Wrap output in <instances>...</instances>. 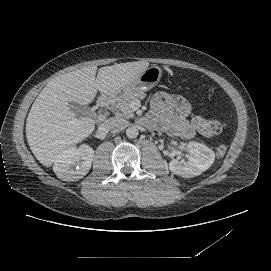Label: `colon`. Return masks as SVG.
<instances>
[{
    "label": "colon",
    "mask_w": 271,
    "mask_h": 271,
    "mask_svg": "<svg viewBox=\"0 0 271 271\" xmlns=\"http://www.w3.org/2000/svg\"><path fill=\"white\" fill-rule=\"evenodd\" d=\"M193 124L197 132L204 137L215 136L221 133L225 128V124L223 122L201 116L195 117L193 120ZM226 151V145L220 144L216 148V155L218 157H222L225 155Z\"/></svg>",
    "instance_id": "obj_1"
}]
</instances>
